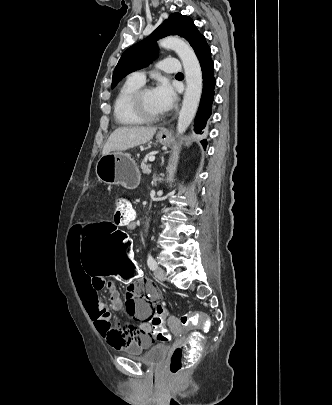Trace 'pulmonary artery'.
I'll list each match as a JSON object with an SVG mask.
<instances>
[{
  "instance_id": "1",
  "label": "pulmonary artery",
  "mask_w": 332,
  "mask_h": 405,
  "mask_svg": "<svg viewBox=\"0 0 332 405\" xmlns=\"http://www.w3.org/2000/svg\"><path fill=\"white\" fill-rule=\"evenodd\" d=\"M160 69L166 73L176 74L181 70V67L177 59L165 58L160 62ZM130 79L143 84L145 82V73L143 71H136L131 74Z\"/></svg>"
}]
</instances>
